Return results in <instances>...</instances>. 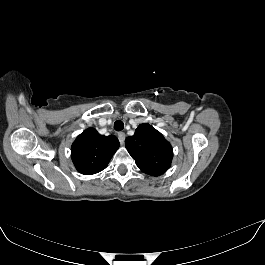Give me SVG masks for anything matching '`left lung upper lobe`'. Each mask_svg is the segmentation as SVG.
I'll use <instances>...</instances> for the list:
<instances>
[{
  "label": "left lung upper lobe",
  "instance_id": "left-lung-upper-lobe-1",
  "mask_svg": "<svg viewBox=\"0 0 265 265\" xmlns=\"http://www.w3.org/2000/svg\"><path fill=\"white\" fill-rule=\"evenodd\" d=\"M125 147L140 170L151 176L165 173L171 165L173 149L164 136L150 124H140Z\"/></svg>",
  "mask_w": 265,
  "mask_h": 265
}]
</instances>
